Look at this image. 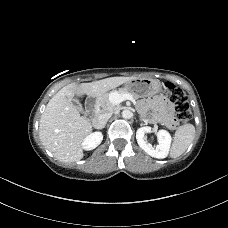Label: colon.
<instances>
[{
	"label": "colon",
	"instance_id": "colon-1",
	"mask_svg": "<svg viewBox=\"0 0 228 228\" xmlns=\"http://www.w3.org/2000/svg\"><path fill=\"white\" fill-rule=\"evenodd\" d=\"M166 96L174 103L176 117L168 121L172 128L177 127L180 123H187L191 118V110L187 94L180 87L172 82H166L164 85Z\"/></svg>",
	"mask_w": 228,
	"mask_h": 228
}]
</instances>
